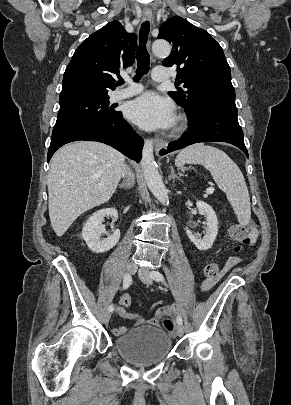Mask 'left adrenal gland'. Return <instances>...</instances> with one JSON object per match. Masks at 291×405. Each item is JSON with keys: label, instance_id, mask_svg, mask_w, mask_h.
Segmentation results:
<instances>
[{"label": "left adrenal gland", "instance_id": "a2214340", "mask_svg": "<svg viewBox=\"0 0 291 405\" xmlns=\"http://www.w3.org/2000/svg\"><path fill=\"white\" fill-rule=\"evenodd\" d=\"M170 169H171V175L169 176V180H172V179H175V178H177L178 180H181L180 177L177 176V174H175V170H174V168L172 166L170 167Z\"/></svg>", "mask_w": 291, "mask_h": 405}]
</instances>
